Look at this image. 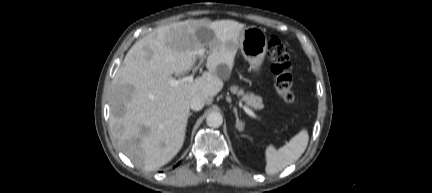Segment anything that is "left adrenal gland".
<instances>
[{"instance_id": "a2214340", "label": "left adrenal gland", "mask_w": 432, "mask_h": 193, "mask_svg": "<svg viewBox=\"0 0 432 193\" xmlns=\"http://www.w3.org/2000/svg\"><path fill=\"white\" fill-rule=\"evenodd\" d=\"M234 113H235V117H236V128L238 131H242L243 130V122L241 120H239L236 108H234Z\"/></svg>"}]
</instances>
